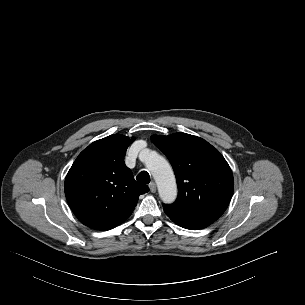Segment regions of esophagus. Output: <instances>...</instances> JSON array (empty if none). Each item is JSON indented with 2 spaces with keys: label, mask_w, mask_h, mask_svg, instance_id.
Here are the masks:
<instances>
[{
  "label": "esophagus",
  "mask_w": 305,
  "mask_h": 305,
  "mask_svg": "<svg viewBox=\"0 0 305 305\" xmlns=\"http://www.w3.org/2000/svg\"><path fill=\"white\" fill-rule=\"evenodd\" d=\"M149 188H150V191H151L152 193H155V192H156V184H155L154 182H151V183L149 184Z\"/></svg>",
  "instance_id": "1"
}]
</instances>
